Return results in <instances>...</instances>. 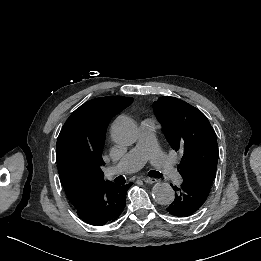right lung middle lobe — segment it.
<instances>
[{
    "instance_id": "right-lung-middle-lobe-1",
    "label": "right lung middle lobe",
    "mask_w": 261,
    "mask_h": 261,
    "mask_svg": "<svg viewBox=\"0 0 261 261\" xmlns=\"http://www.w3.org/2000/svg\"><path fill=\"white\" fill-rule=\"evenodd\" d=\"M73 177H74V178H77V179H82V178H83V175L80 174V172H78V170H77V171L74 172Z\"/></svg>"
}]
</instances>
